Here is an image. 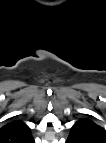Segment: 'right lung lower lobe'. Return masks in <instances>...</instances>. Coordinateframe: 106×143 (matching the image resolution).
Returning a JSON list of instances; mask_svg holds the SVG:
<instances>
[{"mask_svg": "<svg viewBox=\"0 0 106 143\" xmlns=\"http://www.w3.org/2000/svg\"><path fill=\"white\" fill-rule=\"evenodd\" d=\"M27 143H34V139L31 138Z\"/></svg>", "mask_w": 106, "mask_h": 143, "instance_id": "right-lung-lower-lobe-1", "label": "right lung lower lobe"}]
</instances>
